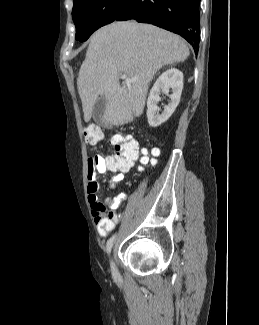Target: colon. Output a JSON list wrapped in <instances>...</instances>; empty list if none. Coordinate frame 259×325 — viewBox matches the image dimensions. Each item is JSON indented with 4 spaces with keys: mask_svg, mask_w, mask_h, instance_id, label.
Instances as JSON below:
<instances>
[{
    "mask_svg": "<svg viewBox=\"0 0 259 325\" xmlns=\"http://www.w3.org/2000/svg\"><path fill=\"white\" fill-rule=\"evenodd\" d=\"M84 136L92 144H96L102 139L103 134L95 126L89 125L84 129ZM111 143L116 150V156L121 160L123 165L138 157L140 153L138 145L132 138L117 135L111 139ZM142 153L143 157L141 158V162L143 164L155 163V159H150L146 151L143 150ZM152 154L157 156L159 152H152ZM89 161L91 163V158Z\"/></svg>",
    "mask_w": 259,
    "mask_h": 325,
    "instance_id": "obj_1",
    "label": "colon"
}]
</instances>
